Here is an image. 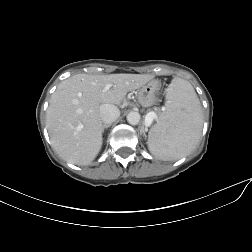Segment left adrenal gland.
Masks as SVG:
<instances>
[{
    "label": "left adrenal gland",
    "mask_w": 252,
    "mask_h": 252,
    "mask_svg": "<svg viewBox=\"0 0 252 252\" xmlns=\"http://www.w3.org/2000/svg\"><path fill=\"white\" fill-rule=\"evenodd\" d=\"M143 135L146 137V134L143 132Z\"/></svg>",
    "instance_id": "a2214340"
}]
</instances>
